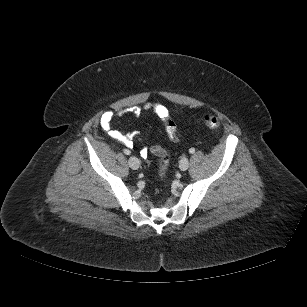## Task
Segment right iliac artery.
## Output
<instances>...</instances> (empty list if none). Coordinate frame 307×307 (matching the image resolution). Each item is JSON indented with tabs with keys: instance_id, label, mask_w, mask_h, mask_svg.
<instances>
[{
	"instance_id": "obj_1",
	"label": "right iliac artery",
	"mask_w": 307,
	"mask_h": 307,
	"mask_svg": "<svg viewBox=\"0 0 307 307\" xmlns=\"http://www.w3.org/2000/svg\"><path fill=\"white\" fill-rule=\"evenodd\" d=\"M124 153H125L126 155H129V154H130V151H129L128 149H124Z\"/></svg>"
}]
</instances>
